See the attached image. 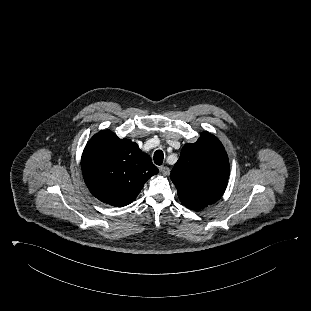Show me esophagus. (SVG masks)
<instances>
[{"label": "esophagus", "instance_id": "34e87169", "mask_svg": "<svg viewBox=\"0 0 311 311\" xmlns=\"http://www.w3.org/2000/svg\"><path fill=\"white\" fill-rule=\"evenodd\" d=\"M159 170L163 175H168L170 173V169L167 166H160Z\"/></svg>", "mask_w": 311, "mask_h": 311}]
</instances>
